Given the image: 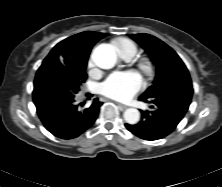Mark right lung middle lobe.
I'll use <instances>...</instances> for the list:
<instances>
[{"label":"right lung middle lobe","mask_w":222,"mask_h":187,"mask_svg":"<svg viewBox=\"0 0 222 187\" xmlns=\"http://www.w3.org/2000/svg\"><path fill=\"white\" fill-rule=\"evenodd\" d=\"M53 62H59L60 64H62L67 69V71L72 75V77L75 79L78 85L85 82L87 60H78L76 58L66 59L63 57H58L53 59L52 61H43L40 68H43Z\"/></svg>","instance_id":"1"}]
</instances>
